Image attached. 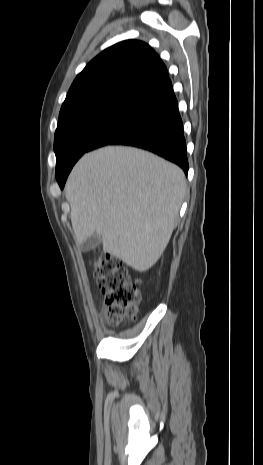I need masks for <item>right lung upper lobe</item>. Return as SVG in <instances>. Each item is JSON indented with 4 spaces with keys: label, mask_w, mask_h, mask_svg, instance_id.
I'll return each mask as SVG.
<instances>
[{
    "label": "right lung upper lobe",
    "mask_w": 263,
    "mask_h": 465,
    "mask_svg": "<svg viewBox=\"0 0 263 465\" xmlns=\"http://www.w3.org/2000/svg\"><path fill=\"white\" fill-rule=\"evenodd\" d=\"M168 79L166 66L148 44L122 41L101 52L75 78L60 114L102 97L137 99Z\"/></svg>",
    "instance_id": "right-lung-upper-lobe-1"
}]
</instances>
